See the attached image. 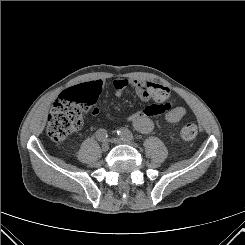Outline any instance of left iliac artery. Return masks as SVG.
<instances>
[{
    "mask_svg": "<svg viewBox=\"0 0 245 245\" xmlns=\"http://www.w3.org/2000/svg\"><path fill=\"white\" fill-rule=\"evenodd\" d=\"M117 134L121 137V139H124V140H134L135 139L132 132L126 128H120L119 130H117Z\"/></svg>",
    "mask_w": 245,
    "mask_h": 245,
    "instance_id": "44dca946",
    "label": "left iliac artery"
}]
</instances>
